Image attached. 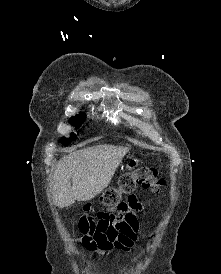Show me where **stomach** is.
I'll list each match as a JSON object with an SVG mask.
<instances>
[{"label":"stomach","instance_id":"1","mask_svg":"<svg viewBox=\"0 0 221 274\" xmlns=\"http://www.w3.org/2000/svg\"><path fill=\"white\" fill-rule=\"evenodd\" d=\"M139 161L136 158H130L126 163V169L132 170L138 165Z\"/></svg>","mask_w":221,"mask_h":274}]
</instances>
